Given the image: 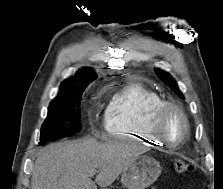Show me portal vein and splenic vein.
<instances>
[{
    "label": "portal vein and splenic vein",
    "mask_w": 223,
    "mask_h": 189,
    "mask_svg": "<svg viewBox=\"0 0 223 189\" xmlns=\"http://www.w3.org/2000/svg\"><path fill=\"white\" fill-rule=\"evenodd\" d=\"M95 173H96V170H93V171H90V172H89L90 176L95 175Z\"/></svg>",
    "instance_id": "portal-vein-and-splenic-vein-1"
}]
</instances>
